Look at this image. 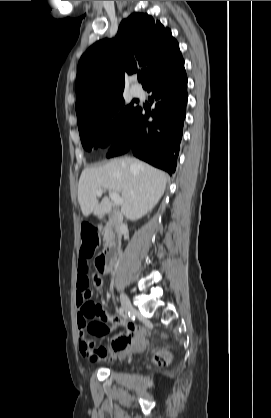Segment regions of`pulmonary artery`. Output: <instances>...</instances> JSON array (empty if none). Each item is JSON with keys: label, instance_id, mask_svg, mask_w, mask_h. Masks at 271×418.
Wrapping results in <instances>:
<instances>
[{"label": "pulmonary artery", "instance_id": "e3ab8cb5", "mask_svg": "<svg viewBox=\"0 0 271 418\" xmlns=\"http://www.w3.org/2000/svg\"><path fill=\"white\" fill-rule=\"evenodd\" d=\"M131 94H132L134 97H139V96H141L142 91H141V89H140V88H138V87H136V86H133V87L131 88Z\"/></svg>", "mask_w": 271, "mask_h": 418}]
</instances>
